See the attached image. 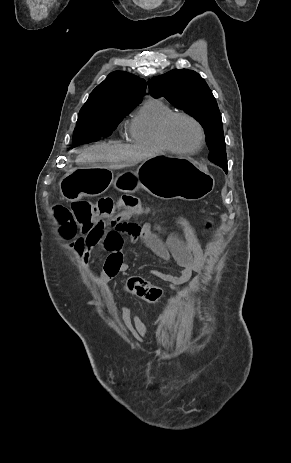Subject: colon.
<instances>
[{"label":"colon","mask_w":291,"mask_h":463,"mask_svg":"<svg viewBox=\"0 0 291 463\" xmlns=\"http://www.w3.org/2000/svg\"><path fill=\"white\" fill-rule=\"evenodd\" d=\"M140 202L125 196L120 199L102 197L96 202L74 201L69 207L56 205L53 208L54 217L59 223L58 232L66 240H73L78 231L87 233L95 229H113L115 222L122 215L128 217L130 210H140ZM144 217L152 219L159 217L163 220L170 218L172 210L170 206L161 204L144 206ZM125 288L132 295L147 303H158L162 298L159 288L141 277H131L125 283Z\"/></svg>","instance_id":"colon-1"}]
</instances>
